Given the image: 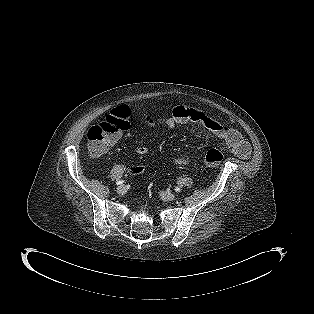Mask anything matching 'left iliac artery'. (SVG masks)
Here are the masks:
<instances>
[{"label":"left iliac artery","instance_id":"obj_1","mask_svg":"<svg viewBox=\"0 0 314 314\" xmlns=\"http://www.w3.org/2000/svg\"><path fill=\"white\" fill-rule=\"evenodd\" d=\"M176 192H180L181 191V188L180 187H175L174 189Z\"/></svg>","mask_w":314,"mask_h":314}]
</instances>
